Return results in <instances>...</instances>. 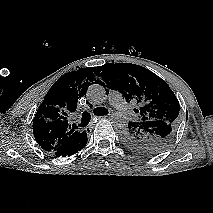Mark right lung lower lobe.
<instances>
[{"label": "right lung lower lobe", "instance_id": "98d812e1", "mask_svg": "<svg viewBox=\"0 0 213 213\" xmlns=\"http://www.w3.org/2000/svg\"><path fill=\"white\" fill-rule=\"evenodd\" d=\"M86 143H87V134L84 133V135L79 140H77L74 144H72L71 146L63 150L56 151L55 155L59 157H66V156L73 155L77 153L78 151H80L86 145Z\"/></svg>", "mask_w": 213, "mask_h": 213}]
</instances>
